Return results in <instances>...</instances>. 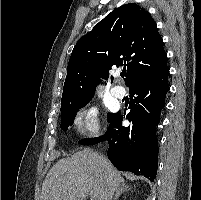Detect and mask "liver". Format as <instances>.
Masks as SVG:
<instances>
[{"label":"liver","instance_id":"obj_1","mask_svg":"<svg viewBox=\"0 0 201 200\" xmlns=\"http://www.w3.org/2000/svg\"><path fill=\"white\" fill-rule=\"evenodd\" d=\"M124 179L99 153L86 148L60 159L48 172L41 200H112Z\"/></svg>","mask_w":201,"mask_h":200}]
</instances>
